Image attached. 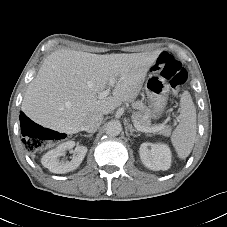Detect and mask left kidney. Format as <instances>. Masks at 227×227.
<instances>
[{
    "instance_id": "left-kidney-1",
    "label": "left kidney",
    "mask_w": 227,
    "mask_h": 227,
    "mask_svg": "<svg viewBox=\"0 0 227 227\" xmlns=\"http://www.w3.org/2000/svg\"><path fill=\"white\" fill-rule=\"evenodd\" d=\"M139 152L141 161L151 170H168L171 166V151L166 144L143 143Z\"/></svg>"
}]
</instances>
